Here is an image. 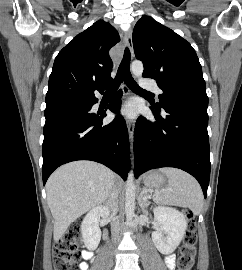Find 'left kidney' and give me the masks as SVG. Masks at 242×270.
Returning a JSON list of instances; mask_svg holds the SVG:
<instances>
[{
	"instance_id": "1",
	"label": "left kidney",
	"mask_w": 242,
	"mask_h": 270,
	"mask_svg": "<svg viewBox=\"0 0 242 270\" xmlns=\"http://www.w3.org/2000/svg\"><path fill=\"white\" fill-rule=\"evenodd\" d=\"M154 216L160 228L152 233V240L161 253L171 254L185 235V215L174 208L159 206L154 209Z\"/></svg>"
}]
</instances>
